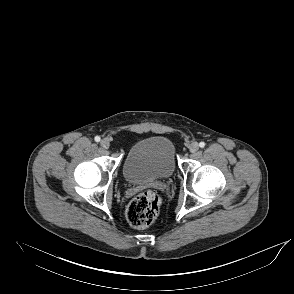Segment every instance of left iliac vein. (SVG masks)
Instances as JSON below:
<instances>
[{"label":"left iliac vein","mask_w":294,"mask_h":294,"mask_svg":"<svg viewBox=\"0 0 294 294\" xmlns=\"http://www.w3.org/2000/svg\"><path fill=\"white\" fill-rule=\"evenodd\" d=\"M198 149H199V145H198L197 142H193V143L190 145V147H189V151H190L191 153H195V152H197Z\"/></svg>","instance_id":"1"}]
</instances>
